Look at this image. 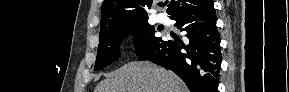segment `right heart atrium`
Segmentation results:
<instances>
[{"label": "right heart atrium", "instance_id": "d8ad5b80", "mask_svg": "<svg viewBox=\"0 0 289 92\" xmlns=\"http://www.w3.org/2000/svg\"><path fill=\"white\" fill-rule=\"evenodd\" d=\"M135 40V35L132 33H129L125 36V41L128 43H133Z\"/></svg>", "mask_w": 289, "mask_h": 92}]
</instances>
